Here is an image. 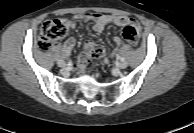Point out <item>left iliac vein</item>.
Segmentation results:
<instances>
[{
    "mask_svg": "<svg viewBox=\"0 0 194 133\" xmlns=\"http://www.w3.org/2000/svg\"><path fill=\"white\" fill-rule=\"evenodd\" d=\"M128 66V63L126 61H121L118 63L117 67L119 69H125Z\"/></svg>",
    "mask_w": 194,
    "mask_h": 133,
    "instance_id": "left-iliac-vein-1",
    "label": "left iliac vein"
}]
</instances>
